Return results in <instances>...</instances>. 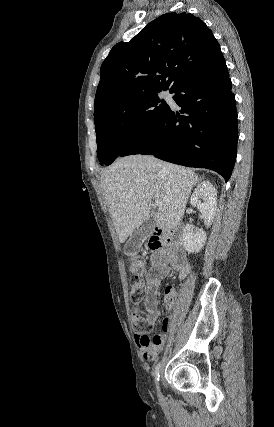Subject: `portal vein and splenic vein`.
Segmentation results:
<instances>
[{
	"instance_id": "portal-vein-and-splenic-vein-1",
	"label": "portal vein and splenic vein",
	"mask_w": 274,
	"mask_h": 427,
	"mask_svg": "<svg viewBox=\"0 0 274 427\" xmlns=\"http://www.w3.org/2000/svg\"><path fill=\"white\" fill-rule=\"evenodd\" d=\"M155 206H157V208H159V210H161L162 202H155Z\"/></svg>"
}]
</instances>
